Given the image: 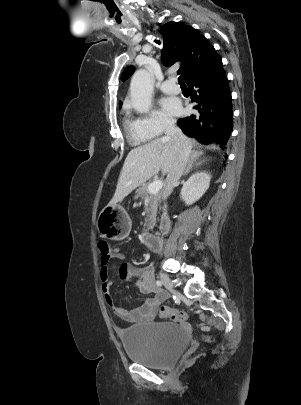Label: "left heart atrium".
<instances>
[{
  "mask_svg": "<svg viewBox=\"0 0 301 405\" xmlns=\"http://www.w3.org/2000/svg\"><path fill=\"white\" fill-rule=\"evenodd\" d=\"M163 109L171 115H179L182 111L180 101L175 97H166L161 101Z\"/></svg>",
  "mask_w": 301,
  "mask_h": 405,
  "instance_id": "obj_1",
  "label": "left heart atrium"
}]
</instances>
